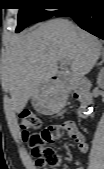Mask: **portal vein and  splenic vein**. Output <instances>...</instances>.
<instances>
[{
    "instance_id": "1",
    "label": "portal vein and splenic vein",
    "mask_w": 104,
    "mask_h": 169,
    "mask_svg": "<svg viewBox=\"0 0 104 169\" xmlns=\"http://www.w3.org/2000/svg\"><path fill=\"white\" fill-rule=\"evenodd\" d=\"M60 62H61V64L64 65V66L69 64V62H68L67 60H61Z\"/></svg>"
}]
</instances>
